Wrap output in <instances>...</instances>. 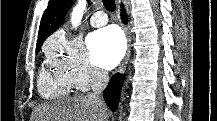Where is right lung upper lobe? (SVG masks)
<instances>
[{
    "mask_svg": "<svg viewBox=\"0 0 217 121\" xmlns=\"http://www.w3.org/2000/svg\"><path fill=\"white\" fill-rule=\"evenodd\" d=\"M72 4V0H50L45 10L38 33L36 50H40L43 42L64 21L65 15Z\"/></svg>",
    "mask_w": 217,
    "mask_h": 121,
    "instance_id": "right-lung-upper-lobe-1",
    "label": "right lung upper lobe"
}]
</instances>
